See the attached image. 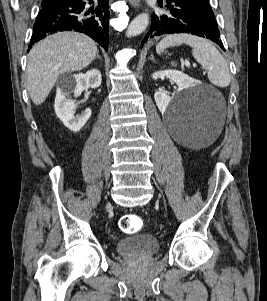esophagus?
<instances>
[{"instance_id":"esophagus-1","label":"esophagus","mask_w":267,"mask_h":301,"mask_svg":"<svg viewBox=\"0 0 267 301\" xmlns=\"http://www.w3.org/2000/svg\"><path fill=\"white\" fill-rule=\"evenodd\" d=\"M129 2L134 7H138L139 6V0H129Z\"/></svg>"}]
</instances>
